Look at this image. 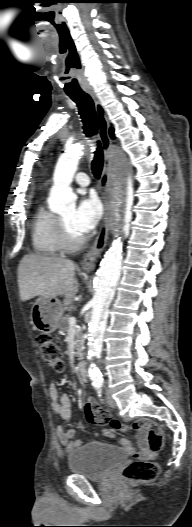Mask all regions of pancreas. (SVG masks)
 <instances>
[{"label":"pancreas","mask_w":192,"mask_h":527,"mask_svg":"<svg viewBox=\"0 0 192 527\" xmlns=\"http://www.w3.org/2000/svg\"><path fill=\"white\" fill-rule=\"evenodd\" d=\"M69 318H70L69 315H65L64 317L61 318L60 325H59V329H60L61 332H67L68 331V329H69ZM75 336H76V343H77L76 347L79 348L80 347V343L83 340L82 328L76 329Z\"/></svg>","instance_id":"cf45deb5"}]
</instances>
